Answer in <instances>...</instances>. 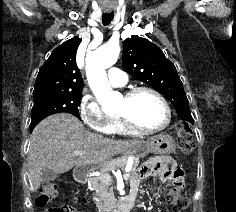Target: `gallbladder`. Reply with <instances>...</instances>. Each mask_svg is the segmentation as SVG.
<instances>
[{"label":"gallbladder","instance_id":"gallbladder-1","mask_svg":"<svg viewBox=\"0 0 236 212\" xmlns=\"http://www.w3.org/2000/svg\"><path fill=\"white\" fill-rule=\"evenodd\" d=\"M57 177H58V174L48 168H44L41 172V180L42 181H53Z\"/></svg>","mask_w":236,"mask_h":212}]
</instances>
